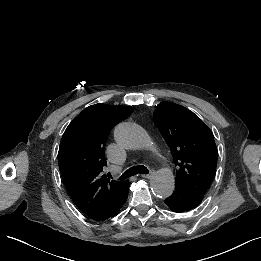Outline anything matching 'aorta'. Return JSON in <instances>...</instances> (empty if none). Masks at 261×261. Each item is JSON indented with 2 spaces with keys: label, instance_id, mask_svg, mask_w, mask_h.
I'll list each match as a JSON object with an SVG mask.
<instances>
[{
  "label": "aorta",
  "instance_id": "aorta-1",
  "mask_svg": "<svg viewBox=\"0 0 261 261\" xmlns=\"http://www.w3.org/2000/svg\"><path fill=\"white\" fill-rule=\"evenodd\" d=\"M114 138L117 144L126 149L153 147L147 132L139 125L123 122L116 126ZM175 187V178L170 169H159L151 178V189L159 198L169 197Z\"/></svg>",
  "mask_w": 261,
  "mask_h": 261
}]
</instances>
